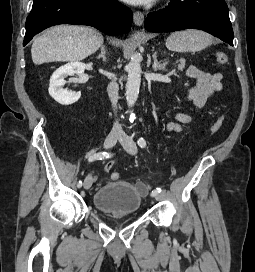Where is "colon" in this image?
Instances as JSON below:
<instances>
[{"label":"colon","instance_id":"5ec220e1","mask_svg":"<svg viewBox=\"0 0 255 272\" xmlns=\"http://www.w3.org/2000/svg\"><path fill=\"white\" fill-rule=\"evenodd\" d=\"M215 57H216V61L219 65L225 66L228 64V56H227L226 52L218 51V52H216ZM222 121H223V118L220 116L213 122L211 129H210L211 135H215L219 132V130L221 129V126H222ZM110 177L112 180H118L120 175L118 172H113V173H111ZM139 188H140L141 193L146 192V187L144 185L140 184Z\"/></svg>","mask_w":255,"mask_h":272}]
</instances>
